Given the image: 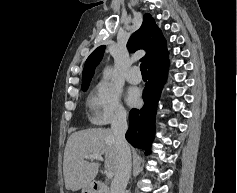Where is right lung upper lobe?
I'll return each instance as SVG.
<instances>
[{"label":"right lung upper lobe","mask_w":237,"mask_h":193,"mask_svg":"<svg viewBox=\"0 0 237 193\" xmlns=\"http://www.w3.org/2000/svg\"><path fill=\"white\" fill-rule=\"evenodd\" d=\"M127 46L131 52L139 49L146 51V55L142 59L147 63V67L168 55L166 40L149 13L144 15L141 27L132 34ZM104 50V45L99 46L87 58L82 73V88L89 86L95 67L101 61Z\"/></svg>","instance_id":"cb5924a9"}]
</instances>
